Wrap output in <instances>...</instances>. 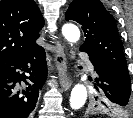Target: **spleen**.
<instances>
[{"label":"spleen","mask_w":133,"mask_h":118,"mask_svg":"<svg viewBox=\"0 0 133 118\" xmlns=\"http://www.w3.org/2000/svg\"><path fill=\"white\" fill-rule=\"evenodd\" d=\"M119 116H124V114L121 113Z\"/></svg>","instance_id":"3e777b00"}]
</instances>
